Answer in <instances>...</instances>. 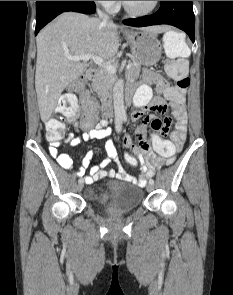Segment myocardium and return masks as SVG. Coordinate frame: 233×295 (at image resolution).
Segmentation results:
<instances>
[{
  "label": "myocardium",
  "instance_id": "obj_1",
  "mask_svg": "<svg viewBox=\"0 0 233 295\" xmlns=\"http://www.w3.org/2000/svg\"><path fill=\"white\" fill-rule=\"evenodd\" d=\"M160 1H154L152 7L150 9H148L147 11L144 12H138V11H134L132 10L126 1H121L122 7L123 9L126 11V13H128L131 16L134 17H145L148 16L150 14H152L158 7Z\"/></svg>",
  "mask_w": 233,
  "mask_h": 295
}]
</instances>
